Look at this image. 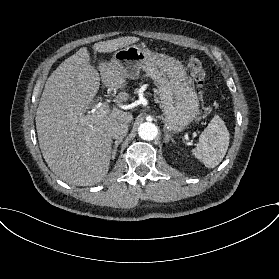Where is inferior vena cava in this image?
Here are the masks:
<instances>
[{
    "instance_id": "602c4592",
    "label": "inferior vena cava",
    "mask_w": 279,
    "mask_h": 279,
    "mask_svg": "<svg viewBox=\"0 0 279 279\" xmlns=\"http://www.w3.org/2000/svg\"><path fill=\"white\" fill-rule=\"evenodd\" d=\"M128 133V124L127 123H117L116 125H113L109 131L108 134L113 139H123Z\"/></svg>"
}]
</instances>
